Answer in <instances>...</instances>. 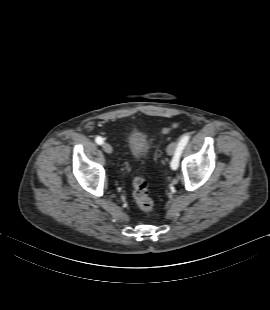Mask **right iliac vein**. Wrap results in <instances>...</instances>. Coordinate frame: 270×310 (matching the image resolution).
<instances>
[{"instance_id":"63e3f726","label":"right iliac vein","mask_w":270,"mask_h":310,"mask_svg":"<svg viewBox=\"0 0 270 310\" xmlns=\"http://www.w3.org/2000/svg\"><path fill=\"white\" fill-rule=\"evenodd\" d=\"M102 148L107 154H111L113 151L112 146L108 143H103Z\"/></svg>"}]
</instances>
